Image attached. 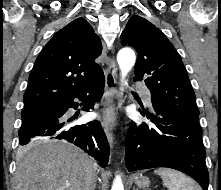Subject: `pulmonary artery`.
Returning a JSON list of instances; mask_svg holds the SVG:
<instances>
[{
  "instance_id": "1",
  "label": "pulmonary artery",
  "mask_w": 221,
  "mask_h": 190,
  "mask_svg": "<svg viewBox=\"0 0 221 190\" xmlns=\"http://www.w3.org/2000/svg\"><path fill=\"white\" fill-rule=\"evenodd\" d=\"M135 85L137 86V87H142V84H141V82H136L135 83ZM144 96H145V99L147 100V101H150V99H151V94H150V92H148V91H146L145 93H144Z\"/></svg>"
}]
</instances>
